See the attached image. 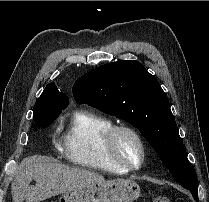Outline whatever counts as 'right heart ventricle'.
Here are the masks:
<instances>
[{"label":"right heart ventricle","mask_w":209,"mask_h":202,"mask_svg":"<svg viewBox=\"0 0 209 202\" xmlns=\"http://www.w3.org/2000/svg\"><path fill=\"white\" fill-rule=\"evenodd\" d=\"M113 121L92 111L79 112L68 124L63 136V156L69 162L111 173H128L106 155L104 140Z\"/></svg>","instance_id":"1"}]
</instances>
